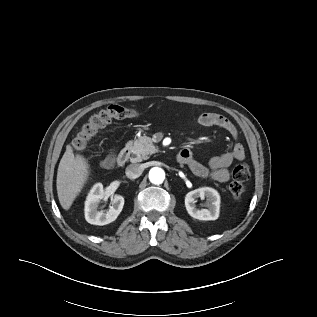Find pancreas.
I'll return each instance as SVG.
<instances>
[{"label": "pancreas", "instance_id": "pancreas-1", "mask_svg": "<svg viewBox=\"0 0 317 317\" xmlns=\"http://www.w3.org/2000/svg\"><path fill=\"white\" fill-rule=\"evenodd\" d=\"M128 149L131 151V162H140L146 160L150 155L155 153L156 147L153 145L152 140L148 136H142L133 142L127 144Z\"/></svg>", "mask_w": 317, "mask_h": 317}]
</instances>
